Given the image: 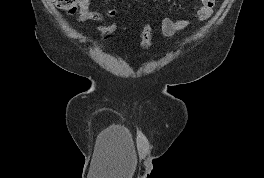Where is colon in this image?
I'll use <instances>...</instances> for the list:
<instances>
[{"label":"colon","mask_w":264,"mask_h":178,"mask_svg":"<svg viewBox=\"0 0 264 178\" xmlns=\"http://www.w3.org/2000/svg\"><path fill=\"white\" fill-rule=\"evenodd\" d=\"M55 6L69 14H74L77 11V4L79 0H53ZM117 24L115 22L104 24L101 32L107 37L115 32ZM155 32V26L152 23H147L141 32V46L148 49L151 46L152 38Z\"/></svg>","instance_id":"5ec220e1"}]
</instances>
